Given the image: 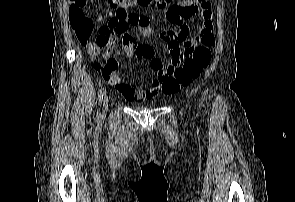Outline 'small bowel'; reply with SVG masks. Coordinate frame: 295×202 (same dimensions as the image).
Here are the masks:
<instances>
[{
  "mask_svg": "<svg viewBox=\"0 0 295 202\" xmlns=\"http://www.w3.org/2000/svg\"><path fill=\"white\" fill-rule=\"evenodd\" d=\"M88 0H71L70 8L85 10ZM165 9L167 20L177 25V31H166L162 34V39L166 43L167 52L170 61L164 66L163 59L156 53L152 45H138L133 37L121 27L120 21L115 19L113 14H109L106 23L99 28L100 42L97 45L87 46V52L91 57L99 54L101 48H105L103 56L104 63H95V70L101 74L108 82L115 85L116 89L129 100L151 99L158 91L148 88H134L124 83L117 77L115 70L121 59H111L114 53L115 37L114 31L122 32L123 53L127 56L137 55L139 58L147 59L150 62L151 70L158 75L167 65L175 62L180 54L188 49L193 48L197 41L188 39L190 28L185 22L198 15L201 26L200 32H212V6L210 0H179L176 5L163 6ZM137 15V14H133ZM139 18L138 26L142 37L150 38L153 29L150 26V20L145 15H137ZM98 22L103 20L102 16H97ZM100 68V69H99ZM104 72V73H103ZM109 75V76H107Z\"/></svg>",
  "mask_w": 295,
  "mask_h": 202,
  "instance_id": "c3829d8e",
  "label": "small bowel"
}]
</instances>
